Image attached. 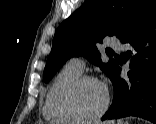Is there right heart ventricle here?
Wrapping results in <instances>:
<instances>
[{"mask_svg":"<svg viewBox=\"0 0 156 124\" xmlns=\"http://www.w3.org/2000/svg\"><path fill=\"white\" fill-rule=\"evenodd\" d=\"M80 74V71L65 65L51 81L42 106L43 117L48 123L73 124L76 122L62 110L59 100L64 88Z\"/></svg>","mask_w":156,"mask_h":124,"instance_id":"obj_1","label":"right heart ventricle"}]
</instances>
